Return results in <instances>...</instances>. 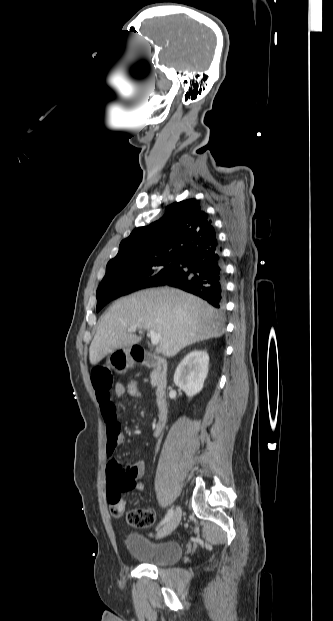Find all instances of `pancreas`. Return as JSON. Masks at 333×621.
Returning a JSON list of instances; mask_svg holds the SVG:
<instances>
[{
    "label": "pancreas",
    "mask_w": 333,
    "mask_h": 621,
    "mask_svg": "<svg viewBox=\"0 0 333 621\" xmlns=\"http://www.w3.org/2000/svg\"><path fill=\"white\" fill-rule=\"evenodd\" d=\"M155 378H156V374H155V372H152L151 373V384H152V386L155 385Z\"/></svg>",
    "instance_id": "cf45deb5"
}]
</instances>
